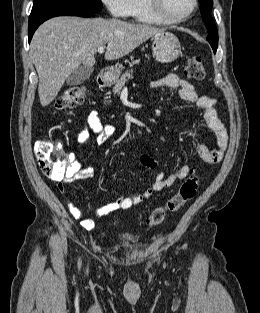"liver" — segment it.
Segmentation results:
<instances>
[{"mask_svg":"<svg viewBox=\"0 0 260 313\" xmlns=\"http://www.w3.org/2000/svg\"><path fill=\"white\" fill-rule=\"evenodd\" d=\"M163 31L164 28L119 19L55 17L44 22L30 44L41 105L45 107L55 99L69 75L81 64L92 68L100 46L107 45L106 60H115Z\"/></svg>","mask_w":260,"mask_h":313,"instance_id":"obj_1","label":"liver"}]
</instances>
